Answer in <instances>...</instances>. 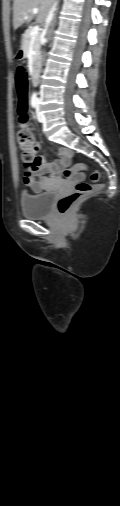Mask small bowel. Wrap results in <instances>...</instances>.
<instances>
[{
    "instance_id": "1",
    "label": "small bowel",
    "mask_w": 120,
    "mask_h": 506,
    "mask_svg": "<svg viewBox=\"0 0 120 506\" xmlns=\"http://www.w3.org/2000/svg\"><path fill=\"white\" fill-rule=\"evenodd\" d=\"M39 142L37 146L39 147ZM58 159L53 162H46L44 158L39 157V167L30 173H26L24 176V183L34 192H40L46 188L50 179L59 178L60 172L63 168L70 164L72 158V150L59 147L56 149ZM81 175L76 177V180L80 179Z\"/></svg>"
}]
</instances>
